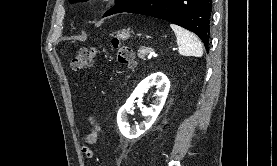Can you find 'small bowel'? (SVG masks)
I'll return each mask as SVG.
<instances>
[{
    "label": "small bowel",
    "mask_w": 277,
    "mask_h": 166,
    "mask_svg": "<svg viewBox=\"0 0 277 166\" xmlns=\"http://www.w3.org/2000/svg\"><path fill=\"white\" fill-rule=\"evenodd\" d=\"M90 123H91V131L85 137L84 139L85 145L82 147V152L85 154L87 158H91L93 156V152L89 146L96 143V141L98 140L99 134L101 132L100 126L94 119H90Z\"/></svg>",
    "instance_id": "obj_1"
}]
</instances>
